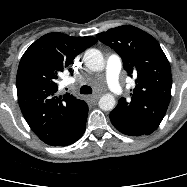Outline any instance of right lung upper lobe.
Returning <instances> with one entry per match:
<instances>
[{"label": "right lung upper lobe", "instance_id": "right-lung-upper-lobe-1", "mask_svg": "<svg viewBox=\"0 0 187 187\" xmlns=\"http://www.w3.org/2000/svg\"><path fill=\"white\" fill-rule=\"evenodd\" d=\"M96 42L92 36L52 32L36 40L21 58L16 78L18 102L28 125L46 144L70 132L88 109L85 101L69 93L59 95L56 80L78 54Z\"/></svg>", "mask_w": 187, "mask_h": 187}]
</instances>
